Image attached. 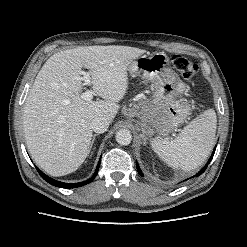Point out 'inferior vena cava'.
Segmentation results:
<instances>
[{"label":"inferior vena cava","instance_id":"obj_1","mask_svg":"<svg viewBox=\"0 0 247 247\" xmlns=\"http://www.w3.org/2000/svg\"><path fill=\"white\" fill-rule=\"evenodd\" d=\"M109 127V122L103 117H95L92 120L91 128L96 133H104Z\"/></svg>","mask_w":247,"mask_h":247}]
</instances>
